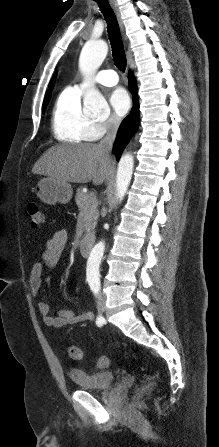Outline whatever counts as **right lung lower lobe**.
<instances>
[{
	"label": "right lung lower lobe",
	"instance_id": "98d812e1",
	"mask_svg": "<svg viewBox=\"0 0 219 447\" xmlns=\"http://www.w3.org/2000/svg\"><path fill=\"white\" fill-rule=\"evenodd\" d=\"M129 86L133 95V107L130 115H128L120 124L117 132L116 141L113 146L114 154H117V160L120 157V152L127 145L131 137L138 129L139 125V105L137 96V85L135 78L129 72Z\"/></svg>",
	"mask_w": 219,
	"mask_h": 447
}]
</instances>
